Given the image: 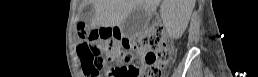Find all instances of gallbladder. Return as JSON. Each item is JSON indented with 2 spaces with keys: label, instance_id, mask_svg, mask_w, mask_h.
<instances>
[{
  "label": "gallbladder",
  "instance_id": "1",
  "mask_svg": "<svg viewBox=\"0 0 258 77\" xmlns=\"http://www.w3.org/2000/svg\"><path fill=\"white\" fill-rule=\"evenodd\" d=\"M149 21V14L142 8H134L122 24V33L134 37L143 30Z\"/></svg>",
  "mask_w": 258,
  "mask_h": 77
}]
</instances>
